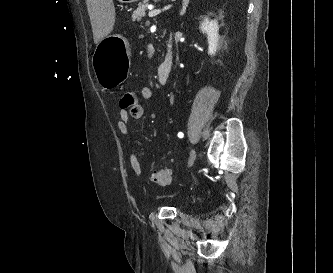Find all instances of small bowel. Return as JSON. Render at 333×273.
I'll return each instance as SVG.
<instances>
[{"label": "small bowel", "instance_id": "obj_1", "mask_svg": "<svg viewBox=\"0 0 333 273\" xmlns=\"http://www.w3.org/2000/svg\"><path fill=\"white\" fill-rule=\"evenodd\" d=\"M141 97L144 100H150L153 97V91L150 87L144 86L141 89ZM144 115V107L137 101L133 104L132 109H120L118 119L116 122L117 130L124 136L128 135V126L127 123L130 119L138 120L141 119ZM129 166L132 171L137 175L141 176L143 170L140 164V161L137 155L134 152H130L129 157Z\"/></svg>", "mask_w": 333, "mask_h": 273}]
</instances>
